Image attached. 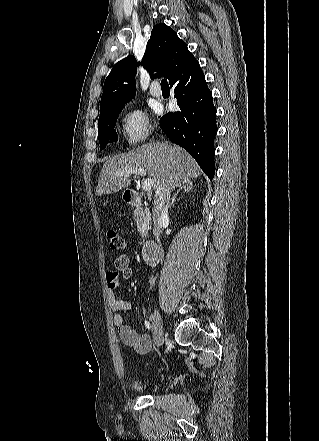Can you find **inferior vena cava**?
<instances>
[{"instance_id": "602c4592", "label": "inferior vena cava", "mask_w": 319, "mask_h": 441, "mask_svg": "<svg viewBox=\"0 0 319 441\" xmlns=\"http://www.w3.org/2000/svg\"><path fill=\"white\" fill-rule=\"evenodd\" d=\"M170 200V190L168 189L166 194L156 192V197L153 204V233L160 235L163 225L168 221V208ZM154 280L152 279V282Z\"/></svg>"}]
</instances>
